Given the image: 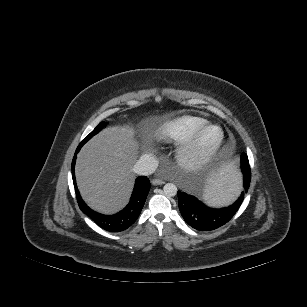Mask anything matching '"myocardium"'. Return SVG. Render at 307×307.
Instances as JSON below:
<instances>
[{
  "instance_id": "1",
  "label": "myocardium",
  "mask_w": 307,
  "mask_h": 307,
  "mask_svg": "<svg viewBox=\"0 0 307 307\" xmlns=\"http://www.w3.org/2000/svg\"><path fill=\"white\" fill-rule=\"evenodd\" d=\"M209 130L217 131V138L206 149H201L200 142L204 134ZM224 140V134L220 127L206 124L194 132L185 140L176 152V159L180 166L188 171H198L204 168L215 157Z\"/></svg>"
}]
</instances>
